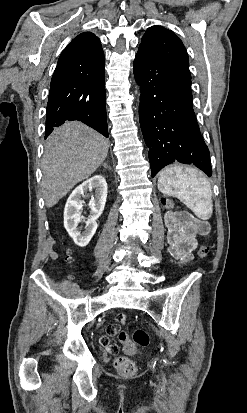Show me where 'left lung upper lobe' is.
Segmentation results:
<instances>
[{
	"instance_id": "5c2ea615",
	"label": "left lung upper lobe",
	"mask_w": 247,
	"mask_h": 413,
	"mask_svg": "<svg viewBox=\"0 0 247 413\" xmlns=\"http://www.w3.org/2000/svg\"><path fill=\"white\" fill-rule=\"evenodd\" d=\"M139 50L191 77L187 51L172 31L161 26L148 28L142 37Z\"/></svg>"
}]
</instances>
